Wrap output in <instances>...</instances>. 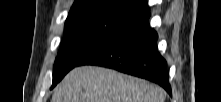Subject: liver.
<instances>
[{"label":"liver","mask_w":221,"mask_h":102,"mask_svg":"<svg viewBox=\"0 0 221 102\" xmlns=\"http://www.w3.org/2000/svg\"><path fill=\"white\" fill-rule=\"evenodd\" d=\"M164 90L145 80L95 66L70 71L51 102H164Z\"/></svg>","instance_id":"6515ba94"}]
</instances>
